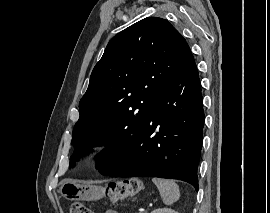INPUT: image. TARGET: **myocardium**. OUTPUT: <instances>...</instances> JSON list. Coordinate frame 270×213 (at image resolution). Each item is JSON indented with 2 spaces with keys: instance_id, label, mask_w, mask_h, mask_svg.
I'll return each mask as SVG.
<instances>
[{
  "instance_id": "1",
  "label": "myocardium",
  "mask_w": 270,
  "mask_h": 213,
  "mask_svg": "<svg viewBox=\"0 0 270 213\" xmlns=\"http://www.w3.org/2000/svg\"><path fill=\"white\" fill-rule=\"evenodd\" d=\"M113 144V137L107 132L95 135L88 144V151L92 155H101Z\"/></svg>"
}]
</instances>
